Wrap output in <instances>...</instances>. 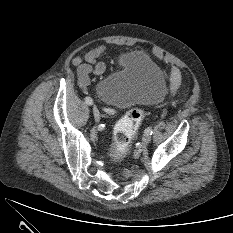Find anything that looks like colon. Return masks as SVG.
I'll return each instance as SVG.
<instances>
[{
	"mask_svg": "<svg viewBox=\"0 0 233 233\" xmlns=\"http://www.w3.org/2000/svg\"><path fill=\"white\" fill-rule=\"evenodd\" d=\"M144 118L141 109L133 108L116 124L114 131V157L124 154L129 148Z\"/></svg>",
	"mask_w": 233,
	"mask_h": 233,
	"instance_id": "colon-1",
	"label": "colon"
}]
</instances>
